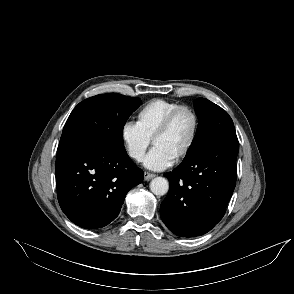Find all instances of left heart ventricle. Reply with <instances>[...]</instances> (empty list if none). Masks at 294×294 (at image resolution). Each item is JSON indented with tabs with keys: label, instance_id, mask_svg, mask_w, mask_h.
I'll return each instance as SVG.
<instances>
[{
	"label": "left heart ventricle",
	"instance_id": "left-heart-ventricle-1",
	"mask_svg": "<svg viewBox=\"0 0 294 294\" xmlns=\"http://www.w3.org/2000/svg\"><path fill=\"white\" fill-rule=\"evenodd\" d=\"M192 130V116L186 111L181 112L174 120L170 129L158 138L154 145L176 159L188 144Z\"/></svg>",
	"mask_w": 294,
	"mask_h": 294
}]
</instances>
